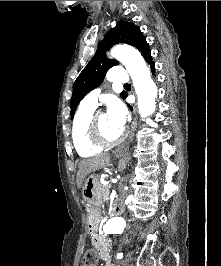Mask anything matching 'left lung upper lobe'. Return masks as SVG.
Masks as SVG:
<instances>
[{"instance_id":"left-lung-upper-lobe-1","label":"left lung upper lobe","mask_w":221,"mask_h":266,"mask_svg":"<svg viewBox=\"0 0 221 266\" xmlns=\"http://www.w3.org/2000/svg\"><path fill=\"white\" fill-rule=\"evenodd\" d=\"M118 43L132 45L141 52L147 62L152 60L149 45L140 28L134 25V23L119 21L113 29L106 33L98 45L95 55L90 59L74 82L70 104L71 119L74 116L77 105L83 97L101 84L106 72L112 66L119 64L118 61L110 60L106 56V52ZM120 95L122 98H125L126 92H122Z\"/></svg>"}]
</instances>
